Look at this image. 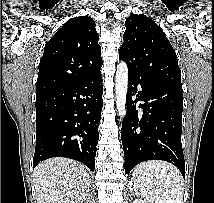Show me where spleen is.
<instances>
[{
	"label": "spleen",
	"mask_w": 214,
	"mask_h": 203,
	"mask_svg": "<svg viewBox=\"0 0 214 203\" xmlns=\"http://www.w3.org/2000/svg\"><path fill=\"white\" fill-rule=\"evenodd\" d=\"M131 182L135 193L146 203H182L183 178L179 170L169 163H141L134 169Z\"/></svg>",
	"instance_id": "spleen-1"
}]
</instances>
